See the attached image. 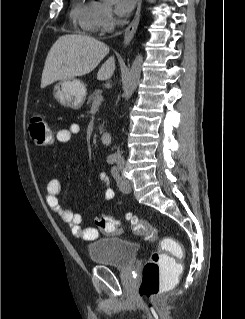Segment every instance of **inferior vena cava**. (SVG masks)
Segmentation results:
<instances>
[{"instance_id":"1","label":"inferior vena cava","mask_w":245,"mask_h":319,"mask_svg":"<svg viewBox=\"0 0 245 319\" xmlns=\"http://www.w3.org/2000/svg\"><path fill=\"white\" fill-rule=\"evenodd\" d=\"M117 159H118V163H119V164L123 163V158L121 157V154H120L119 151H118V153H117Z\"/></svg>"}]
</instances>
